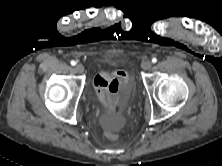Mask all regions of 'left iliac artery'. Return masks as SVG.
Wrapping results in <instances>:
<instances>
[{
	"instance_id": "1",
	"label": "left iliac artery",
	"mask_w": 222,
	"mask_h": 166,
	"mask_svg": "<svg viewBox=\"0 0 222 166\" xmlns=\"http://www.w3.org/2000/svg\"><path fill=\"white\" fill-rule=\"evenodd\" d=\"M152 62H153V63H156V62H157V58H155V57L152 58Z\"/></svg>"
}]
</instances>
